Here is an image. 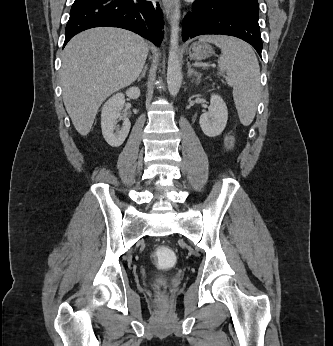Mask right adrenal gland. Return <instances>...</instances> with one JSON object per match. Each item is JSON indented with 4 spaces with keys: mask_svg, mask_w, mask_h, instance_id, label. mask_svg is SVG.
I'll list each match as a JSON object with an SVG mask.
<instances>
[{
    "mask_svg": "<svg viewBox=\"0 0 333 346\" xmlns=\"http://www.w3.org/2000/svg\"><path fill=\"white\" fill-rule=\"evenodd\" d=\"M146 71H147V65H144L143 70H142V74H141L140 76L137 77V80H138V81H140L142 78L145 77Z\"/></svg>",
    "mask_w": 333,
    "mask_h": 346,
    "instance_id": "obj_1",
    "label": "right adrenal gland"
}]
</instances>
